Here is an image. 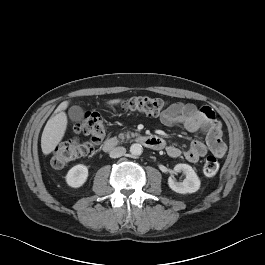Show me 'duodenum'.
<instances>
[{
	"label": "duodenum",
	"instance_id": "obj_1",
	"mask_svg": "<svg viewBox=\"0 0 265 265\" xmlns=\"http://www.w3.org/2000/svg\"><path fill=\"white\" fill-rule=\"evenodd\" d=\"M136 140L145 147L153 150H159L165 147L164 140L157 136H138ZM118 144L119 140L117 138H109L104 142L103 150L106 152H110L114 148H116Z\"/></svg>",
	"mask_w": 265,
	"mask_h": 265
}]
</instances>
